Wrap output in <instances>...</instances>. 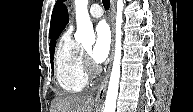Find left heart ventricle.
Segmentation results:
<instances>
[{"instance_id": "1", "label": "left heart ventricle", "mask_w": 193, "mask_h": 112, "mask_svg": "<svg viewBox=\"0 0 193 112\" xmlns=\"http://www.w3.org/2000/svg\"><path fill=\"white\" fill-rule=\"evenodd\" d=\"M90 49H91V47H90V46H86V47H85V50H86L87 52H89V51H90Z\"/></svg>"}]
</instances>
